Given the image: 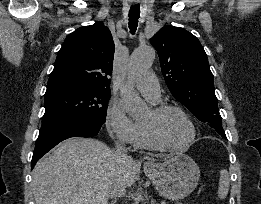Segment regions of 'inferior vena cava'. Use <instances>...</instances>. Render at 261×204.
Segmentation results:
<instances>
[{"label": "inferior vena cava", "mask_w": 261, "mask_h": 204, "mask_svg": "<svg viewBox=\"0 0 261 204\" xmlns=\"http://www.w3.org/2000/svg\"><path fill=\"white\" fill-rule=\"evenodd\" d=\"M115 149V154L119 163H122L123 161L129 158V156L126 153L127 150L125 149V146H123L122 144L116 143ZM109 195L112 198L123 197L125 195L124 184L121 181L116 180L111 186Z\"/></svg>", "instance_id": "602c4592"}]
</instances>
